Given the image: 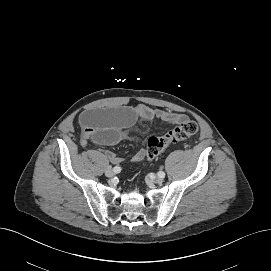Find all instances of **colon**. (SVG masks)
I'll list each match as a JSON object with an SVG mask.
<instances>
[{"label":"colon","mask_w":271,"mask_h":271,"mask_svg":"<svg viewBox=\"0 0 271 271\" xmlns=\"http://www.w3.org/2000/svg\"><path fill=\"white\" fill-rule=\"evenodd\" d=\"M196 131L197 124L193 120H181L163 135L149 138L146 149V158L148 160H153L169 145L189 138L195 134Z\"/></svg>","instance_id":"colon-1"}]
</instances>
